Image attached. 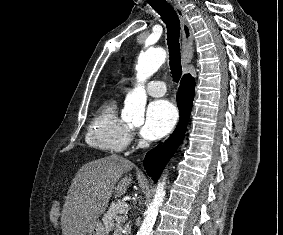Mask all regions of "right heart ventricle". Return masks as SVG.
I'll return each instance as SVG.
<instances>
[{
    "instance_id": "right-heart-ventricle-1",
    "label": "right heart ventricle",
    "mask_w": 283,
    "mask_h": 235,
    "mask_svg": "<svg viewBox=\"0 0 283 235\" xmlns=\"http://www.w3.org/2000/svg\"><path fill=\"white\" fill-rule=\"evenodd\" d=\"M129 140V129L119 117L118 102L110 99L96 111L86 133V143L105 153L122 152Z\"/></svg>"
}]
</instances>
